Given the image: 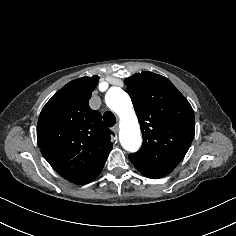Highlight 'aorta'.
Returning a JSON list of instances; mask_svg holds the SVG:
<instances>
[{"instance_id": "obj_1", "label": "aorta", "mask_w": 236, "mask_h": 236, "mask_svg": "<svg viewBox=\"0 0 236 236\" xmlns=\"http://www.w3.org/2000/svg\"><path fill=\"white\" fill-rule=\"evenodd\" d=\"M105 101L107 106L120 118L119 139L122 147L129 152H136L141 146L140 127L129 95L121 88L110 89Z\"/></svg>"}]
</instances>
